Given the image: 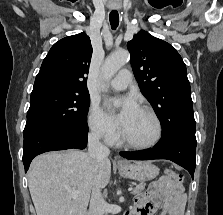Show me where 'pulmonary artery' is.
I'll use <instances>...</instances> for the list:
<instances>
[{"label":"pulmonary artery","mask_w":223,"mask_h":215,"mask_svg":"<svg viewBox=\"0 0 223 215\" xmlns=\"http://www.w3.org/2000/svg\"><path fill=\"white\" fill-rule=\"evenodd\" d=\"M131 69H120L113 79H111L108 85L115 90L126 89L132 82Z\"/></svg>","instance_id":"e3ab8cb5"}]
</instances>
